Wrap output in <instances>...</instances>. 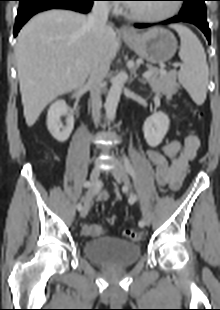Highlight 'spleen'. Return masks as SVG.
Returning <instances> with one entry per match:
<instances>
[{
  "label": "spleen",
  "mask_w": 220,
  "mask_h": 310,
  "mask_svg": "<svg viewBox=\"0 0 220 310\" xmlns=\"http://www.w3.org/2000/svg\"><path fill=\"white\" fill-rule=\"evenodd\" d=\"M181 40L179 57L184 68L178 72V79L197 105L206 99L209 69L204 48L197 36L186 26L175 24Z\"/></svg>",
  "instance_id": "obj_1"
}]
</instances>
